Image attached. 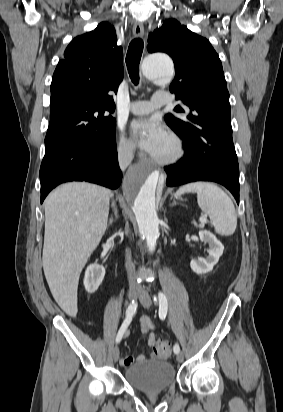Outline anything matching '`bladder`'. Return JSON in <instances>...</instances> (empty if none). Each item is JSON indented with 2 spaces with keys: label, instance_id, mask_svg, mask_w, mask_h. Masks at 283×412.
Here are the masks:
<instances>
[{
  "label": "bladder",
  "instance_id": "bladder-1",
  "mask_svg": "<svg viewBox=\"0 0 283 412\" xmlns=\"http://www.w3.org/2000/svg\"><path fill=\"white\" fill-rule=\"evenodd\" d=\"M125 381L143 392H161L176 381L173 365L164 360L142 362L128 367L124 371Z\"/></svg>",
  "mask_w": 283,
  "mask_h": 412
}]
</instances>
